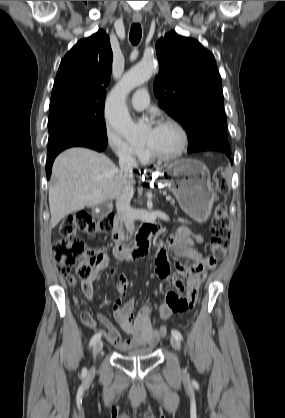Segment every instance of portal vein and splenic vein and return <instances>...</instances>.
I'll return each mask as SVG.
<instances>
[{
	"label": "portal vein and splenic vein",
	"mask_w": 285,
	"mask_h": 418,
	"mask_svg": "<svg viewBox=\"0 0 285 418\" xmlns=\"http://www.w3.org/2000/svg\"><path fill=\"white\" fill-rule=\"evenodd\" d=\"M166 200H167V201H170V200H171V198H170V197H167V198H166Z\"/></svg>",
	"instance_id": "1"
}]
</instances>
